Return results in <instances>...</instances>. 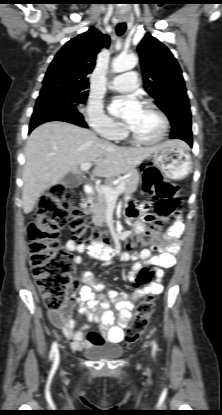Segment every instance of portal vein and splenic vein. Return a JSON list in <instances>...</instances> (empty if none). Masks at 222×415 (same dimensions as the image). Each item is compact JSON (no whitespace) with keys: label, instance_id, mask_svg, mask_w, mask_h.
Returning a JSON list of instances; mask_svg holds the SVG:
<instances>
[{"label":"portal vein and splenic vein","instance_id":"portal-vein-and-splenic-vein-1","mask_svg":"<svg viewBox=\"0 0 222 415\" xmlns=\"http://www.w3.org/2000/svg\"><path fill=\"white\" fill-rule=\"evenodd\" d=\"M91 165L92 164L90 162L83 163L81 164V169L86 171L91 167ZM99 189L105 194L108 203L115 204L118 196L123 193L125 189V183H120L115 189H112L107 185H100Z\"/></svg>","mask_w":222,"mask_h":415}]
</instances>
